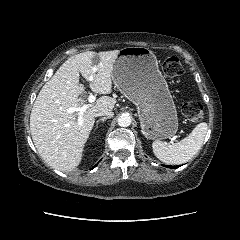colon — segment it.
<instances>
[{"label":"colon","mask_w":240,"mask_h":240,"mask_svg":"<svg viewBox=\"0 0 240 240\" xmlns=\"http://www.w3.org/2000/svg\"><path fill=\"white\" fill-rule=\"evenodd\" d=\"M164 74L169 78H176L183 74V66L175 56L167 57L162 65ZM182 114L191 122H197L204 115L203 106L195 101H184L180 104Z\"/></svg>","instance_id":"colon-1"}]
</instances>
